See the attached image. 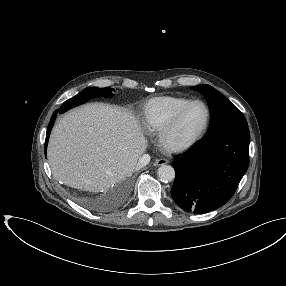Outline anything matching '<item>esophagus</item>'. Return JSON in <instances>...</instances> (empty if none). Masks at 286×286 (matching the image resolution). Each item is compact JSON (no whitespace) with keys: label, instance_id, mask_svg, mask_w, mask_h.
I'll return each mask as SVG.
<instances>
[{"label":"esophagus","instance_id":"esophagus-1","mask_svg":"<svg viewBox=\"0 0 286 286\" xmlns=\"http://www.w3.org/2000/svg\"><path fill=\"white\" fill-rule=\"evenodd\" d=\"M169 161L167 159H164V158H161V159H157L155 162H154V165L155 166H161V165H165L167 164Z\"/></svg>","mask_w":286,"mask_h":286}]
</instances>
